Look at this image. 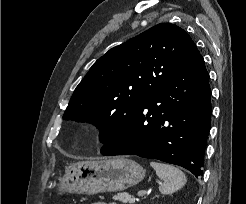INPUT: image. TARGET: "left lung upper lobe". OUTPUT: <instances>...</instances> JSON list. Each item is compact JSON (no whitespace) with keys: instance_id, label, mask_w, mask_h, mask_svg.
<instances>
[{"instance_id":"5c2ea615","label":"left lung upper lobe","mask_w":246,"mask_h":204,"mask_svg":"<svg viewBox=\"0 0 246 204\" xmlns=\"http://www.w3.org/2000/svg\"><path fill=\"white\" fill-rule=\"evenodd\" d=\"M196 49L190 36L174 24L148 29L93 64L76 87L63 119L95 124L105 143Z\"/></svg>"}]
</instances>
